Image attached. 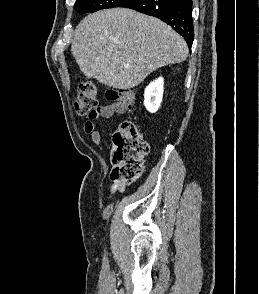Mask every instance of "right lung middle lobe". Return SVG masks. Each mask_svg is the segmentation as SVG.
I'll return each instance as SVG.
<instances>
[{
  "label": "right lung middle lobe",
  "instance_id": "obj_1",
  "mask_svg": "<svg viewBox=\"0 0 259 294\" xmlns=\"http://www.w3.org/2000/svg\"><path fill=\"white\" fill-rule=\"evenodd\" d=\"M128 0H76L74 9L80 14L93 13L95 11L113 7H119Z\"/></svg>",
  "mask_w": 259,
  "mask_h": 294
}]
</instances>
